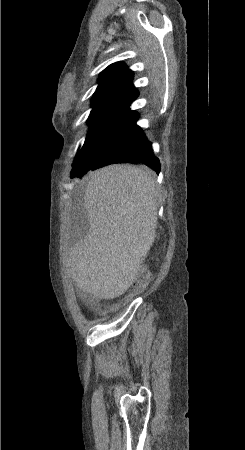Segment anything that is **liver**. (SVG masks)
<instances>
[{
    "mask_svg": "<svg viewBox=\"0 0 245 450\" xmlns=\"http://www.w3.org/2000/svg\"><path fill=\"white\" fill-rule=\"evenodd\" d=\"M157 200L147 168L110 165L89 173L84 207L90 228L68 257L77 287L100 299L128 290L154 242Z\"/></svg>",
    "mask_w": 245,
    "mask_h": 450,
    "instance_id": "1",
    "label": "liver"
}]
</instances>
